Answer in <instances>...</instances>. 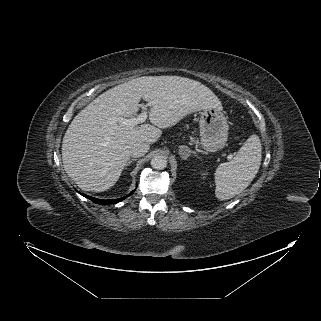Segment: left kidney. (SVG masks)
Segmentation results:
<instances>
[{
  "mask_svg": "<svg viewBox=\"0 0 321 321\" xmlns=\"http://www.w3.org/2000/svg\"><path fill=\"white\" fill-rule=\"evenodd\" d=\"M201 175H202V176H205V175H206V173H205V172H202V173H201Z\"/></svg>",
  "mask_w": 321,
  "mask_h": 321,
  "instance_id": "obj_1",
  "label": "left kidney"
}]
</instances>
